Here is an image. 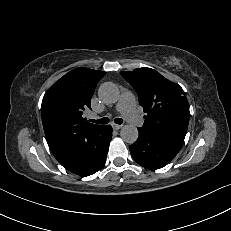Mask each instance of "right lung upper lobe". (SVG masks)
Returning <instances> with one entry per match:
<instances>
[{"instance_id":"obj_1","label":"right lung upper lobe","mask_w":231,"mask_h":231,"mask_svg":"<svg viewBox=\"0 0 231 231\" xmlns=\"http://www.w3.org/2000/svg\"><path fill=\"white\" fill-rule=\"evenodd\" d=\"M106 73L77 68L54 83L42 101V122L50 149L58 158L72 151L80 134L100 125L83 118L99 80Z\"/></svg>"}]
</instances>
